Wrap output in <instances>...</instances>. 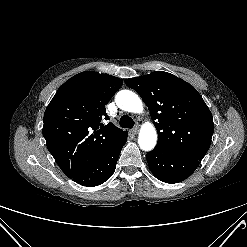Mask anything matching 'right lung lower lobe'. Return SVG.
Returning <instances> with one entry per match:
<instances>
[{
  "instance_id": "98d812e1",
  "label": "right lung lower lobe",
  "mask_w": 247,
  "mask_h": 247,
  "mask_svg": "<svg viewBox=\"0 0 247 247\" xmlns=\"http://www.w3.org/2000/svg\"><path fill=\"white\" fill-rule=\"evenodd\" d=\"M128 133L117 143L102 154L85 170L74 176L73 179L80 185L94 187L107 181L114 173L121 149L127 140Z\"/></svg>"
}]
</instances>
